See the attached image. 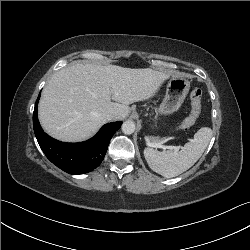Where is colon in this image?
Segmentation results:
<instances>
[{
	"label": "colon",
	"mask_w": 250,
	"mask_h": 250,
	"mask_svg": "<svg viewBox=\"0 0 250 250\" xmlns=\"http://www.w3.org/2000/svg\"><path fill=\"white\" fill-rule=\"evenodd\" d=\"M202 90L199 88L191 92V111L187 118H185L176 128L177 131H186L192 127L199 117L201 111Z\"/></svg>",
	"instance_id": "obj_1"
}]
</instances>
